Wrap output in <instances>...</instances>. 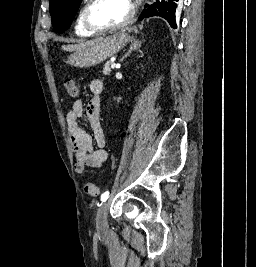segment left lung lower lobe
<instances>
[{
  "instance_id": "1",
  "label": "left lung lower lobe",
  "mask_w": 256,
  "mask_h": 267,
  "mask_svg": "<svg viewBox=\"0 0 256 267\" xmlns=\"http://www.w3.org/2000/svg\"><path fill=\"white\" fill-rule=\"evenodd\" d=\"M178 1V0H175ZM172 6H173V19H172V23L170 24L172 28H176V22H175V9L177 7L176 3L172 1Z\"/></svg>"
}]
</instances>
